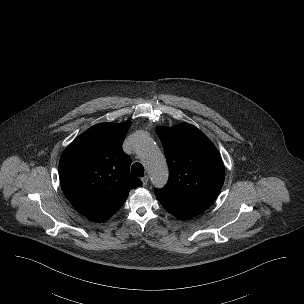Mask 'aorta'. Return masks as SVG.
Segmentation results:
<instances>
[{"label":"aorta","instance_id":"762f6f07","mask_svg":"<svg viewBox=\"0 0 304 304\" xmlns=\"http://www.w3.org/2000/svg\"><path fill=\"white\" fill-rule=\"evenodd\" d=\"M135 151L143 157L146 169L155 187L161 188L168 179L165 157L148 135H141L134 144Z\"/></svg>","mask_w":304,"mask_h":304}]
</instances>
